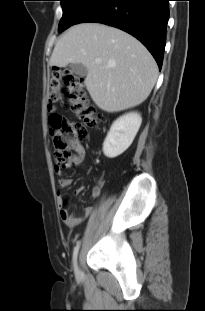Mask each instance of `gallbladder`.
<instances>
[{
	"label": "gallbladder",
	"instance_id": "bac80fb5",
	"mask_svg": "<svg viewBox=\"0 0 205 311\" xmlns=\"http://www.w3.org/2000/svg\"><path fill=\"white\" fill-rule=\"evenodd\" d=\"M69 70L71 73L80 77H85L87 75V68L81 63L70 64Z\"/></svg>",
	"mask_w": 205,
	"mask_h": 311
}]
</instances>
